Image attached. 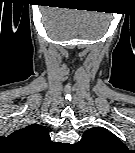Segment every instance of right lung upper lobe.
I'll use <instances>...</instances> for the list:
<instances>
[{"label": "right lung upper lobe", "instance_id": "1", "mask_svg": "<svg viewBox=\"0 0 135 153\" xmlns=\"http://www.w3.org/2000/svg\"><path fill=\"white\" fill-rule=\"evenodd\" d=\"M14 134L24 141L37 145H42L50 141L48 130L39 124H31L14 132Z\"/></svg>", "mask_w": 135, "mask_h": 153}]
</instances>
